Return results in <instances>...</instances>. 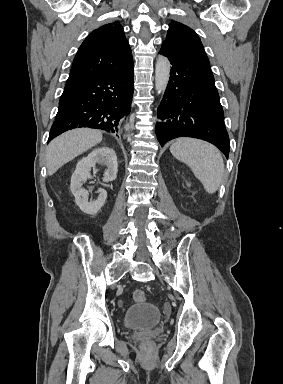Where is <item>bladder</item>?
Instances as JSON below:
<instances>
[{"label":"bladder","instance_id":"obj_1","mask_svg":"<svg viewBox=\"0 0 283 384\" xmlns=\"http://www.w3.org/2000/svg\"><path fill=\"white\" fill-rule=\"evenodd\" d=\"M159 322H161V312L153 302L131 303L122 317V324L128 329H146Z\"/></svg>","mask_w":283,"mask_h":384}]
</instances>
